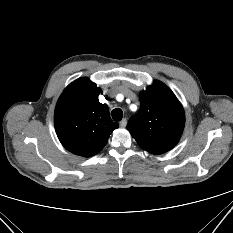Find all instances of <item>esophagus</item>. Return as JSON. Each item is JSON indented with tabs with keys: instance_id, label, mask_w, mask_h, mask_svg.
<instances>
[{
	"instance_id": "34e87169",
	"label": "esophagus",
	"mask_w": 233,
	"mask_h": 233,
	"mask_svg": "<svg viewBox=\"0 0 233 233\" xmlns=\"http://www.w3.org/2000/svg\"><path fill=\"white\" fill-rule=\"evenodd\" d=\"M126 125H127V119L124 118V119H122V120L120 121V127L125 128Z\"/></svg>"
}]
</instances>
